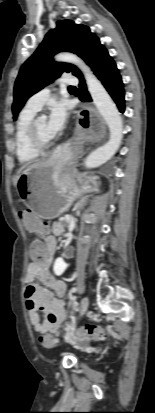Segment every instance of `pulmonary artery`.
I'll use <instances>...</instances> for the list:
<instances>
[{
	"instance_id": "1",
	"label": "pulmonary artery",
	"mask_w": 155,
	"mask_h": 413,
	"mask_svg": "<svg viewBox=\"0 0 155 413\" xmlns=\"http://www.w3.org/2000/svg\"><path fill=\"white\" fill-rule=\"evenodd\" d=\"M57 82L60 84L74 85L77 83V78L72 74H66L61 79H59ZM49 96H50V89L44 88L43 90L35 93L33 96H31L28 99L26 103V107L34 111H39L42 108V106L45 104Z\"/></svg>"
}]
</instances>
